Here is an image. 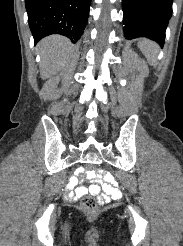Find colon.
I'll return each mask as SVG.
<instances>
[{
    "label": "colon",
    "mask_w": 183,
    "mask_h": 246,
    "mask_svg": "<svg viewBox=\"0 0 183 246\" xmlns=\"http://www.w3.org/2000/svg\"><path fill=\"white\" fill-rule=\"evenodd\" d=\"M84 168L87 169L88 172H91L92 169L95 168V164L94 162H87V164L84 165ZM100 176L104 177V175H100ZM81 207L84 211L88 213H93L97 208V202L93 197L85 196L82 199Z\"/></svg>",
    "instance_id": "1"
}]
</instances>
